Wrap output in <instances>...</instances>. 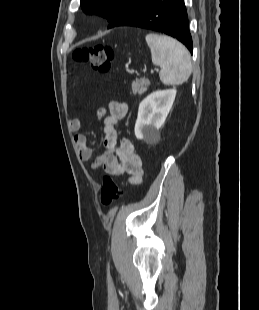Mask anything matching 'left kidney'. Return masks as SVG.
<instances>
[{"label":"left kidney","instance_id":"obj_1","mask_svg":"<svg viewBox=\"0 0 259 310\" xmlns=\"http://www.w3.org/2000/svg\"><path fill=\"white\" fill-rule=\"evenodd\" d=\"M176 89L159 90L148 95L139 105L135 123V136L149 141L158 137L176 96Z\"/></svg>","mask_w":259,"mask_h":310}]
</instances>
